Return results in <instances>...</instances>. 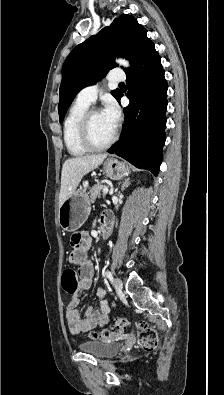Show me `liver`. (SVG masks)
Segmentation results:
<instances>
[{"label":"liver","instance_id":"6515ba94","mask_svg":"<svg viewBox=\"0 0 224 395\" xmlns=\"http://www.w3.org/2000/svg\"><path fill=\"white\" fill-rule=\"evenodd\" d=\"M107 154H91L67 159L62 167L59 206L77 189L84 175L97 168Z\"/></svg>","mask_w":224,"mask_h":395}]
</instances>
